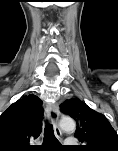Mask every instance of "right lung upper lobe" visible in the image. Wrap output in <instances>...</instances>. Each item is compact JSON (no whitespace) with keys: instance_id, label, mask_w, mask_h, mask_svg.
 <instances>
[{"instance_id":"obj_1","label":"right lung upper lobe","mask_w":118,"mask_h":151,"mask_svg":"<svg viewBox=\"0 0 118 151\" xmlns=\"http://www.w3.org/2000/svg\"><path fill=\"white\" fill-rule=\"evenodd\" d=\"M42 101L35 95H25L0 116V151H30L32 137L42 131Z\"/></svg>"}]
</instances>
